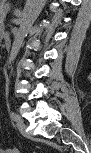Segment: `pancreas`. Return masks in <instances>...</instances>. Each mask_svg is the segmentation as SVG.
<instances>
[{"label":"pancreas","mask_w":91,"mask_h":153,"mask_svg":"<svg viewBox=\"0 0 91 153\" xmlns=\"http://www.w3.org/2000/svg\"><path fill=\"white\" fill-rule=\"evenodd\" d=\"M9 10V5H5L1 9V19L4 20L6 12Z\"/></svg>","instance_id":"obj_1"}]
</instances>
